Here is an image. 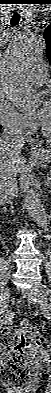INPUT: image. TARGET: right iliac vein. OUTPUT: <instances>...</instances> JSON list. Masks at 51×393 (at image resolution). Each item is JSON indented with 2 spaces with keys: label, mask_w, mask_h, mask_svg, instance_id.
I'll list each match as a JSON object with an SVG mask.
<instances>
[{
  "label": "right iliac vein",
  "mask_w": 51,
  "mask_h": 393,
  "mask_svg": "<svg viewBox=\"0 0 51 393\" xmlns=\"http://www.w3.org/2000/svg\"><path fill=\"white\" fill-rule=\"evenodd\" d=\"M9 296H10V289L9 288H5L0 296V309L2 311H4L8 305V301H9Z\"/></svg>",
  "instance_id": "63e3f726"
}]
</instances>
